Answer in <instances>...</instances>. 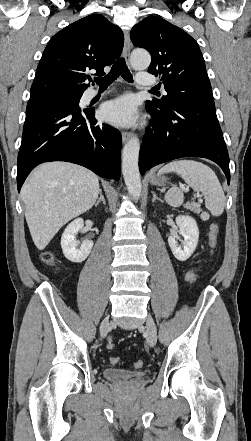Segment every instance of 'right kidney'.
I'll list each match as a JSON object with an SVG mask.
<instances>
[{
    "label": "right kidney",
    "instance_id": "obj_1",
    "mask_svg": "<svg viewBox=\"0 0 251 441\" xmlns=\"http://www.w3.org/2000/svg\"><path fill=\"white\" fill-rule=\"evenodd\" d=\"M83 226L84 220L82 218H77L68 224L61 237L63 254L69 261L74 263H81L84 261L93 247L92 240H85L81 243V246L77 248L80 242L76 239V234L83 228Z\"/></svg>",
    "mask_w": 251,
    "mask_h": 441
}]
</instances>
